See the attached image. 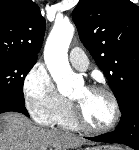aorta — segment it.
Here are the masks:
<instances>
[{
    "mask_svg": "<svg viewBox=\"0 0 139 150\" xmlns=\"http://www.w3.org/2000/svg\"><path fill=\"white\" fill-rule=\"evenodd\" d=\"M73 34L74 26L69 21L56 20L44 49L47 68L57 83L58 91L64 96L72 94L76 84L67 55Z\"/></svg>",
    "mask_w": 139,
    "mask_h": 150,
    "instance_id": "762f6f07",
    "label": "aorta"
}]
</instances>
